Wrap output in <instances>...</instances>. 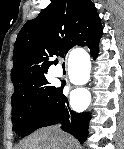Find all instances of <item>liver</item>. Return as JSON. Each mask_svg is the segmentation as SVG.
<instances>
[{
    "label": "liver",
    "mask_w": 124,
    "mask_h": 149,
    "mask_svg": "<svg viewBox=\"0 0 124 149\" xmlns=\"http://www.w3.org/2000/svg\"><path fill=\"white\" fill-rule=\"evenodd\" d=\"M76 141L71 136L56 132L54 128L41 129L22 142L21 149H73Z\"/></svg>",
    "instance_id": "6515ba94"
}]
</instances>
